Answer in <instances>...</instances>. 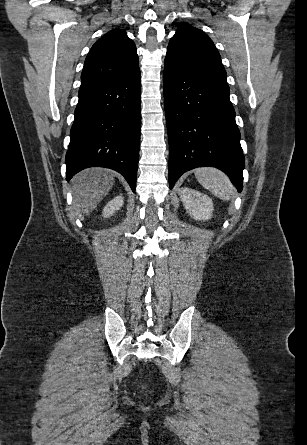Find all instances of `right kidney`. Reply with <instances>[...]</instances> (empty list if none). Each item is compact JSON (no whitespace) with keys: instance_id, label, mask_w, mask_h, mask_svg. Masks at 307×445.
<instances>
[{"instance_id":"obj_1","label":"right kidney","mask_w":307,"mask_h":445,"mask_svg":"<svg viewBox=\"0 0 307 445\" xmlns=\"http://www.w3.org/2000/svg\"><path fill=\"white\" fill-rule=\"evenodd\" d=\"M123 204H124L123 196H115V198L109 200L105 208H103V216H105V218H109V216H112L115 210H120Z\"/></svg>"}]
</instances>
